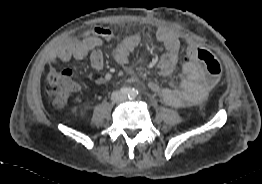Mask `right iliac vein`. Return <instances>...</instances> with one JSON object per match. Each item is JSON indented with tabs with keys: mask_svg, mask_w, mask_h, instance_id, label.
Returning <instances> with one entry per match:
<instances>
[{
	"mask_svg": "<svg viewBox=\"0 0 262 184\" xmlns=\"http://www.w3.org/2000/svg\"><path fill=\"white\" fill-rule=\"evenodd\" d=\"M114 99H115L116 101H120V100H121V95L117 93V94L114 96Z\"/></svg>",
	"mask_w": 262,
	"mask_h": 184,
	"instance_id": "obj_1",
	"label": "right iliac vein"
}]
</instances>
